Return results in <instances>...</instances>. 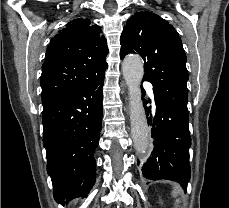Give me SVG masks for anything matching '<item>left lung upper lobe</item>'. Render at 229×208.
Masks as SVG:
<instances>
[{
    "label": "left lung upper lobe",
    "mask_w": 229,
    "mask_h": 208,
    "mask_svg": "<svg viewBox=\"0 0 229 208\" xmlns=\"http://www.w3.org/2000/svg\"><path fill=\"white\" fill-rule=\"evenodd\" d=\"M120 43L121 59L128 53L139 54L144 60L143 80L171 105L188 112L187 58L173 26L152 12H137L128 19Z\"/></svg>",
    "instance_id": "1"
}]
</instances>
